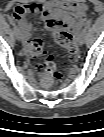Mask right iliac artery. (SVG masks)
Listing matches in <instances>:
<instances>
[{"label": "right iliac artery", "instance_id": "82829eb1", "mask_svg": "<svg viewBox=\"0 0 104 137\" xmlns=\"http://www.w3.org/2000/svg\"><path fill=\"white\" fill-rule=\"evenodd\" d=\"M9 20H10V23L14 26V28H16L15 22L11 18H9Z\"/></svg>", "mask_w": 104, "mask_h": 137}]
</instances>
